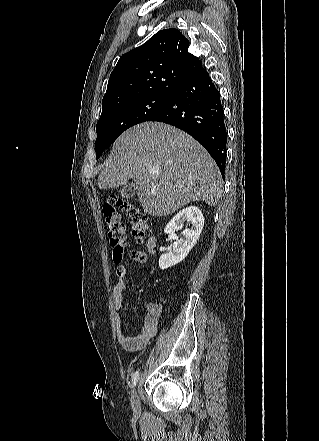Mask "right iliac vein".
Returning <instances> with one entry per match:
<instances>
[{
	"label": "right iliac vein",
	"mask_w": 319,
	"mask_h": 441,
	"mask_svg": "<svg viewBox=\"0 0 319 441\" xmlns=\"http://www.w3.org/2000/svg\"><path fill=\"white\" fill-rule=\"evenodd\" d=\"M131 405H132V409L135 415H139L141 412V405H140V399H139V395L137 393V390L134 389L132 391V395H131Z\"/></svg>",
	"instance_id": "obj_1"
}]
</instances>
